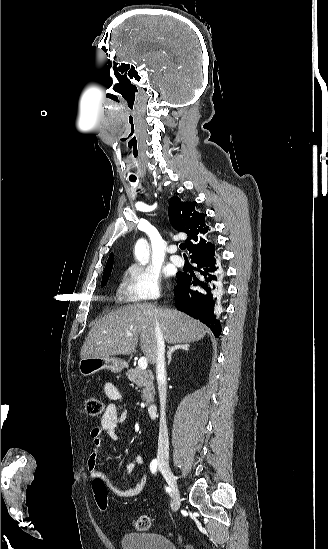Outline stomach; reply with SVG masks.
Instances as JSON below:
<instances>
[{
  "instance_id": "0dacf381",
  "label": "stomach",
  "mask_w": 328,
  "mask_h": 549,
  "mask_svg": "<svg viewBox=\"0 0 328 549\" xmlns=\"http://www.w3.org/2000/svg\"><path fill=\"white\" fill-rule=\"evenodd\" d=\"M127 367L126 361L123 359H116V357H85L79 361L78 369L79 373L83 377H89V375H94L98 371H112V373H121L123 369Z\"/></svg>"
}]
</instances>
